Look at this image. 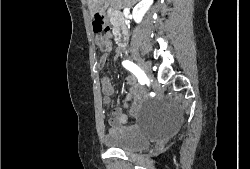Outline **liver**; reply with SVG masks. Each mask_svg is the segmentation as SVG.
Instances as JSON below:
<instances>
[{
  "label": "liver",
  "mask_w": 250,
  "mask_h": 169,
  "mask_svg": "<svg viewBox=\"0 0 250 169\" xmlns=\"http://www.w3.org/2000/svg\"><path fill=\"white\" fill-rule=\"evenodd\" d=\"M87 2L90 14H95L100 6H109V4H113L116 8H124V6H132L137 0H87Z\"/></svg>",
  "instance_id": "liver-1"
}]
</instances>
